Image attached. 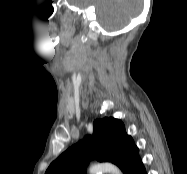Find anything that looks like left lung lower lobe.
<instances>
[{"mask_svg":"<svg viewBox=\"0 0 187 174\" xmlns=\"http://www.w3.org/2000/svg\"><path fill=\"white\" fill-rule=\"evenodd\" d=\"M130 174H146L145 168L142 163L137 164Z\"/></svg>","mask_w":187,"mask_h":174,"instance_id":"left-lung-lower-lobe-1","label":"left lung lower lobe"}]
</instances>
